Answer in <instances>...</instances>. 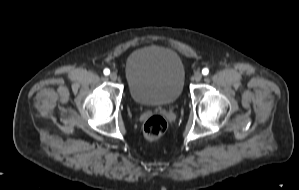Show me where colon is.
I'll return each instance as SVG.
<instances>
[{"label": "colon", "instance_id": "colon-1", "mask_svg": "<svg viewBox=\"0 0 299 190\" xmlns=\"http://www.w3.org/2000/svg\"><path fill=\"white\" fill-rule=\"evenodd\" d=\"M167 127V121L163 117L153 116L145 122L143 135L147 141H155L165 134Z\"/></svg>", "mask_w": 299, "mask_h": 190}]
</instances>
